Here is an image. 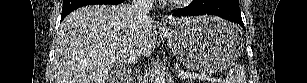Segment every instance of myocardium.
Masks as SVG:
<instances>
[{"label": "myocardium", "mask_w": 307, "mask_h": 83, "mask_svg": "<svg viewBox=\"0 0 307 83\" xmlns=\"http://www.w3.org/2000/svg\"><path fill=\"white\" fill-rule=\"evenodd\" d=\"M192 0H173L171 1L173 7H178V6H181L187 2H191Z\"/></svg>", "instance_id": "1"}]
</instances>
